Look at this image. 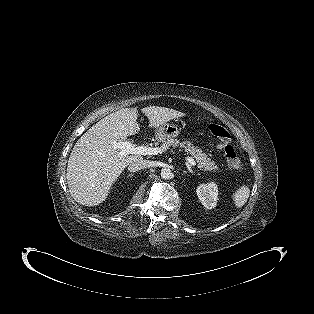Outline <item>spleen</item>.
Wrapping results in <instances>:
<instances>
[{
  "instance_id": "1",
  "label": "spleen",
  "mask_w": 314,
  "mask_h": 314,
  "mask_svg": "<svg viewBox=\"0 0 314 314\" xmlns=\"http://www.w3.org/2000/svg\"><path fill=\"white\" fill-rule=\"evenodd\" d=\"M250 189L247 185L240 186L233 194V202L237 208H241L248 200Z\"/></svg>"
}]
</instances>
